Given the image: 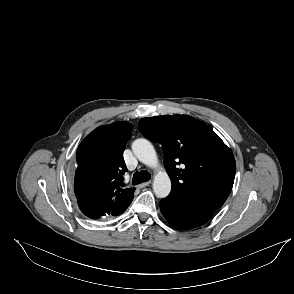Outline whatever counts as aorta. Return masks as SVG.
I'll use <instances>...</instances> for the list:
<instances>
[{
    "instance_id": "762f6f07",
    "label": "aorta",
    "mask_w": 294,
    "mask_h": 294,
    "mask_svg": "<svg viewBox=\"0 0 294 294\" xmlns=\"http://www.w3.org/2000/svg\"><path fill=\"white\" fill-rule=\"evenodd\" d=\"M132 151L143 164L155 168L158 164L157 154L153 145L146 139H136L132 143ZM153 191L159 198H165L171 191V180L164 171L156 173L153 180Z\"/></svg>"
}]
</instances>
